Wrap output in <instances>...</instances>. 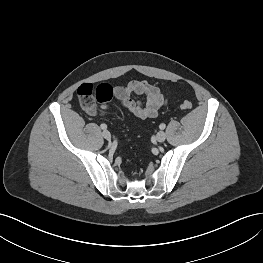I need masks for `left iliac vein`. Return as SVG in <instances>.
Here are the masks:
<instances>
[{"instance_id": "1", "label": "left iliac vein", "mask_w": 263, "mask_h": 263, "mask_svg": "<svg viewBox=\"0 0 263 263\" xmlns=\"http://www.w3.org/2000/svg\"><path fill=\"white\" fill-rule=\"evenodd\" d=\"M156 139H157L158 142H164L165 139H166L165 132H163V131L158 132L157 135H156Z\"/></svg>"}]
</instances>
